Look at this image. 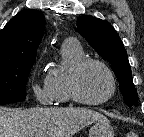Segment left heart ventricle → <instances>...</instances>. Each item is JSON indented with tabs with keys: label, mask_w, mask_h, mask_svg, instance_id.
Listing matches in <instances>:
<instances>
[{
	"label": "left heart ventricle",
	"mask_w": 144,
	"mask_h": 137,
	"mask_svg": "<svg viewBox=\"0 0 144 137\" xmlns=\"http://www.w3.org/2000/svg\"><path fill=\"white\" fill-rule=\"evenodd\" d=\"M81 95L88 100H100L108 95L111 82L107 73L98 65H88L78 81Z\"/></svg>",
	"instance_id": "left-heart-ventricle-1"
}]
</instances>
